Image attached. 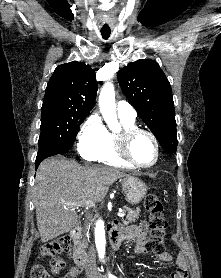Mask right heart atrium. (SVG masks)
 <instances>
[{
	"mask_svg": "<svg viewBox=\"0 0 221 278\" xmlns=\"http://www.w3.org/2000/svg\"><path fill=\"white\" fill-rule=\"evenodd\" d=\"M108 134L99 115L89 116L81 125L77 137L80 156L87 161L98 160L107 144Z\"/></svg>",
	"mask_w": 221,
	"mask_h": 278,
	"instance_id": "1",
	"label": "right heart atrium"
}]
</instances>
